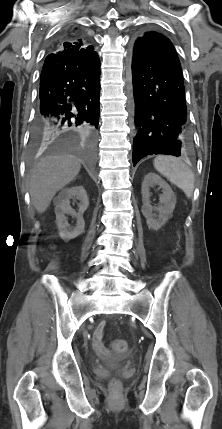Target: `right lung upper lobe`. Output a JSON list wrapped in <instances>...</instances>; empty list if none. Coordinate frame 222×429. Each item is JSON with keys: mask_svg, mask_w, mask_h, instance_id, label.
I'll list each match as a JSON object with an SVG mask.
<instances>
[{"mask_svg": "<svg viewBox=\"0 0 222 429\" xmlns=\"http://www.w3.org/2000/svg\"><path fill=\"white\" fill-rule=\"evenodd\" d=\"M66 50L74 53L78 58L89 57L94 54L93 46H88L85 39L69 33L65 34L55 44V51Z\"/></svg>", "mask_w": 222, "mask_h": 429, "instance_id": "obj_1", "label": "right lung upper lobe"}]
</instances>
